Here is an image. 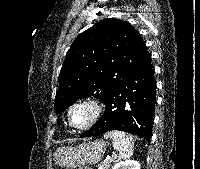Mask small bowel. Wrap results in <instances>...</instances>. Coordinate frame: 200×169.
<instances>
[{"mask_svg": "<svg viewBox=\"0 0 200 169\" xmlns=\"http://www.w3.org/2000/svg\"><path fill=\"white\" fill-rule=\"evenodd\" d=\"M80 169H90V168H80Z\"/></svg>", "mask_w": 200, "mask_h": 169, "instance_id": "obj_1", "label": "small bowel"}]
</instances>
